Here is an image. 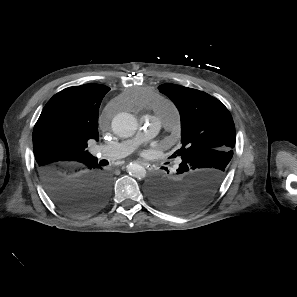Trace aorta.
I'll return each instance as SVG.
<instances>
[{
	"label": "aorta",
	"mask_w": 297,
	"mask_h": 297,
	"mask_svg": "<svg viewBox=\"0 0 297 297\" xmlns=\"http://www.w3.org/2000/svg\"><path fill=\"white\" fill-rule=\"evenodd\" d=\"M112 130L119 137H131L137 130L136 118L130 113H119L112 120ZM127 170L131 176L139 180L146 176L145 168L137 163H130Z\"/></svg>",
	"instance_id": "762f6f07"
}]
</instances>
